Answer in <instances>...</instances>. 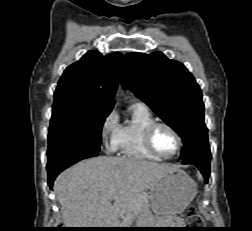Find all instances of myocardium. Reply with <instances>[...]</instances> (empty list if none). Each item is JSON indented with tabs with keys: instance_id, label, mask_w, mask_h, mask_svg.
Here are the masks:
<instances>
[{
	"instance_id": "obj_1",
	"label": "myocardium",
	"mask_w": 252,
	"mask_h": 231,
	"mask_svg": "<svg viewBox=\"0 0 252 231\" xmlns=\"http://www.w3.org/2000/svg\"><path fill=\"white\" fill-rule=\"evenodd\" d=\"M158 127H165V128H167L174 135V137L177 140V143H178L177 149L170 156H163V155H161L156 150V148L154 147V144H153V134H154L155 130ZM144 143H145V146H146L147 150L150 153H152L153 155H155L159 159H163V160L173 159L174 157H176L180 153V151H181V149L183 147V140H182V137L180 136V134L178 133V131L172 125H170L169 123L162 122V121H155V122H153L152 124H150L146 128L145 133H144Z\"/></svg>"
}]
</instances>
